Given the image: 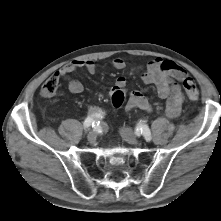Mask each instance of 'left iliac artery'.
<instances>
[{
  "label": "left iliac artery",
  "instance_id": "left-iliac-artery-1",
  "mask_svg": "<svg viewBox=\"0 0 221 221\" xmlns=\"http://www.w3.org/2000/svg\"><path fill=\"white\" fill-rule=\"evenodd\" d=\"M135 133L136 135H143L144 138L146 139V141H150L151 140V132H150V129L148 128L147 125H138L136 128H135Z\"/></svg>",
  "mask_w": 221,
  "mask_h": 221
}]
</instances>
